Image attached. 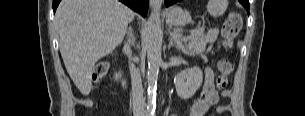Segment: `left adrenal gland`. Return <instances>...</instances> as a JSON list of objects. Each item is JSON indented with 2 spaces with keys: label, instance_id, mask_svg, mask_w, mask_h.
Here are the masks:
<instances>
[{
  "label": "left adrenal gland",
  "instance_id": "1",
  "mask_svg": "<svg viewBox=\"0 0 305 116\" xmlns=\"http://www.w3.org/2000/svg\"><path fill=\"white\" fill-rule=\"evenodd\" d=\"M171 47H176L178 50L180 49V46L176 45L173 42V38L172 37H170V39H169L168 49H170Z\"/></svg>",
  "mask_w": 305,
  "mask_h": 116
}]
</instances>
